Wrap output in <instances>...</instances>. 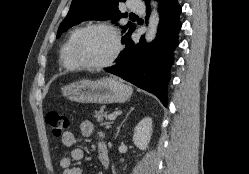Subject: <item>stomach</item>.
<instances>
[{
	"label": "stomach",
	"mask_w": 249,
	"mask_h": 174,
	"mask_svg": "<svg viewBox=\"0 0 249 174\" xmlns=\"http://www.w3.org/2000/svg\"><path fill=\"white\" fill-rule=\"evenodd\" d=\"M63 96L79 103H123L132 95V88L115 78L81 80L61 89Z\"/></svg>",
	"instance_id": "stomach-1"
}]
</instances>
